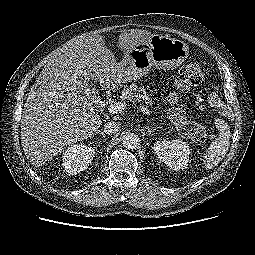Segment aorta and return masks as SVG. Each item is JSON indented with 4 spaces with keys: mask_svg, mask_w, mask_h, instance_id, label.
<instances>
[{
    "mask_svg": "<svg viewBox=\"0 0 255 255\" xmlns=\"http://www.w3.org/2000/svg\"><path fill=\"white\" fill-rule=\"evenodd\" d=\"M140 143L139 136L135 133H126L123 136V146L127 149H135Z\"/></svg>",
    "mask_w": 255,
    "mask_h": 255,
    "instance_id": "aorta-1",
    "label": "aorta"
}]
</instances>
